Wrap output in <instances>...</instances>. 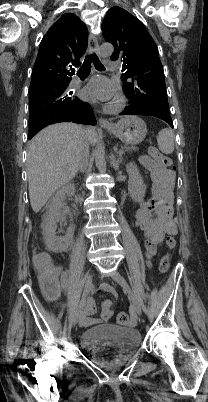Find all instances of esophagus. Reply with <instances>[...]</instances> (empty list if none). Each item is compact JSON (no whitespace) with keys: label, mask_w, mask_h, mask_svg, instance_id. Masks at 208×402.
I'll use <instances>...</instances> for the list:
<instances>
[{"label":"esophagus","mask_w":208,"mask_h":402,"mask_svg":"<svg viewBox=\"0 0 208 402\" xmlns=\"http://www.w3.org/2000/svg\"><path fill=\"white\" fill-rule=\"evenodd\" d=\"M88 51L90 52V54L94 53V54L99 55V53H100V46H99L98 40L92 34H90L89 38H88ZM99 123L102 126L110 125V123L103 118H99Z\"/></svg>","instance_id":"obj_1"}]
</instances>
